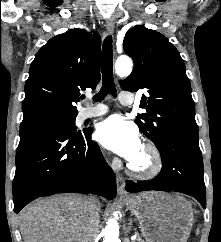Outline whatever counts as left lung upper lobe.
Wrapping results in <instances>:
<instances>
[{
	"label": "left lung upper lobe",
	"instance_id": "left-lung-upper-lobe-1",
	"mask_svg": "<svg viewBox=\"0 0 221 242\" xmlns=\"http://www.w3.org/2000/svg\"><path fill=\"white\" fill-rule=\"evenodd\" d=\"M123 48L134 60L132 73L121 82L123 90L147 89L138 114L140 131L160 149L171 137L198 140L195 104L190 81L178 50L161 33L136 25L129 29Z\"/></svg>",
	"mask_w": 221,
	"mask_h": 242
}]
</instances>
